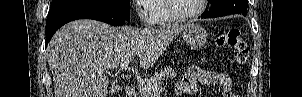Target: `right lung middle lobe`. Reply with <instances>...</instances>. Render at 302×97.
Returning <instances> with one entry per match:
<instances>
[{"mask_svg": "<svg viewBox=\"0 0 302 97\" xmlns=\"http://www.w3.org/2000/svg\"><path fill=\"white\" fill-rule=\"evenodd\" d=\"M81 6L106 8L130 20V0H52L49 13Z\"/></svg>", "mask_w": 302, "mask_h": 97, "instance_id": "dd1d6c3e", "label": "right lung middle lobe"}]
</instances>
